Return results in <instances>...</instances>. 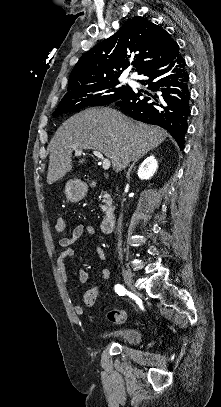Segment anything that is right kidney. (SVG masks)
Returning <instances> with one entry per match:
<instances>
[{"instance_id": "right-kidney-1", "label": "right kidney", "mask_w": 221, "mask_h": 407, "mask_svg": "<svg viewBox=\"0 0 221 407\" xmlns=\"http://www.w3.org/2000/svg\"><path fill=\"white\" fill-rule=\"evenodd\" d=\"M158 168V162L153 155L147 157L140 165L137 175L141 180L150 179Z\"/></svg>"}]
</instances>
